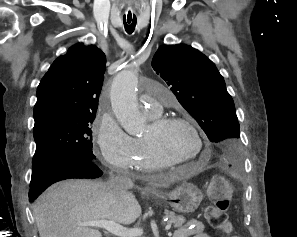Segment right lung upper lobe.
Instances as JSON below:
<instances>
[{
  "label": "right lung upper lobe",
  "instance_id": "right-lung-upper-lobe-1",
  "mask_svg": "<svg viewBox=\"0 0 297 237\" xmlns=\"http://www.w3.org/2000/svg\"><path fill=\"white\" fill-rule=\"evenodd\" d=\"M105 63L93 45H74L58 57L37 87L35 123L52 115L96 114Z\"/></svg>",
  "mask_w": 297,
  "mask_h": 237
}]
</instances>
